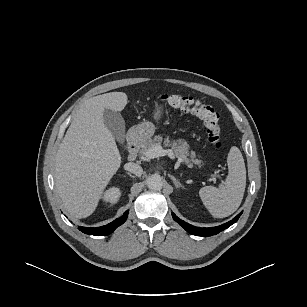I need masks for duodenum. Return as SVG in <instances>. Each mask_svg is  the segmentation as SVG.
<instances>
[{"label": "duodenum", "instance_id": "obj_1", "mask_svg": "<svg viewBox=\"0 0 307 307\" xmlns=\"http://www.w3.org/2000/svg\"><path fill=\"white\" fill-rule=\"evenodd\" d=\"M141 145V136L138 133H132L127 142V159L132 162L137 156V152Z\"/></svg>", "mask_w": 307, "mask_h": 307}]
</instances>
